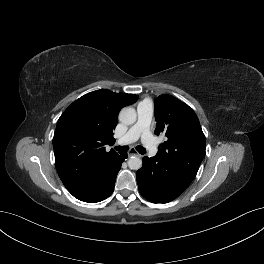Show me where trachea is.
<instances>
[{"instance_id": "obj_1", "label": "trachea", "mask_w": 264, "mask_h": 264, "mask_svg": "<svg viewBox=\"0 0 264 264\" xmlns=\"http://www.w3.org/2000/svg\"><path fill=\"white\" fill-rule=\"evenodd\" d=\"M129 149L128 146H116L115 150L119 151V152H127ZM136 150L140 153V154H145L146 153V149L142 146H137Z\"/></svg>"}]
</instances>
